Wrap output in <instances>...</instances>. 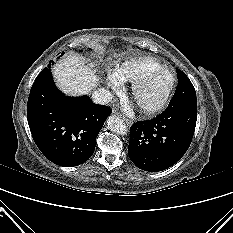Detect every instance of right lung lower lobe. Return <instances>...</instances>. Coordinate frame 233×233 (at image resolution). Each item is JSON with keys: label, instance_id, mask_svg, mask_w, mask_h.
<instances>
[{"label": "right lung lower lobe", "instance_id": "1", "mask_svg": "<svg viewBox=\"0 0 233 233\" xmlns=\"http://www.w3.org/2000/svg\"><path fill=\"white\" fill-rule=\"evenodd\" d=\"M111 112L88 96H65L56 88L51 72L35 80L27 104L37 147L51 162L64 167L80 165L92 156L96 137Z\"/></svg>", "mask_w": 233, "mask_h": 233}]
</instances>
